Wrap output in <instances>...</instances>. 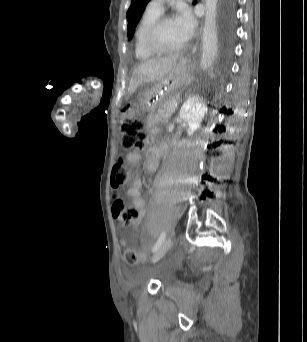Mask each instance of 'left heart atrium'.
Segmentation results:
<instances>
[{
  "instance_id": "1",
  "label": "left heart atrium",
  "mask_w": 307,
  "mask_h": 342,
  "mask_svg": "<svg viewBox=\"0 0 307 342\" xmlns=\"http://www.w3.org/2000/svg\"><path fill=\"white\" fill-rule=\"evenodd\" d=\"M176 22L185 42L189 41L194 36L196 29V22L193 17L189 13H184Z\"/></svg>"
}]
</instances>
